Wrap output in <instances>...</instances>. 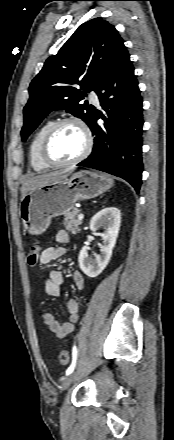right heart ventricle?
<instances>
[{"mask_svg":"<svg viewBox=\"0 0 174 440\" xmlns=\"http://www.w3.org/2000/svg\"><path fill=\"white\" fill-rule=\"evenodd\" d=\"M54 123L53 120H48L44 122L33 134L29 147V161L32 169L36 172H44L51 168V166L47 165L41 158V144L43 138L50 128V126Z\"/></svg>","mask_w":174,"mask_h":440,"instance_id":"1","label":"right heart ventricle"}]
</instances>
